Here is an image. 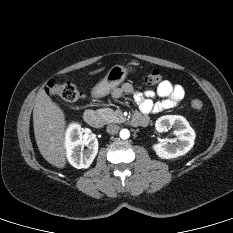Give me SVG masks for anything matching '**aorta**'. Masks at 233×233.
<instances>
[{"instance_id": "aorta-1", "label": "aorta", "mask_w": 233, "mask_h": 233, "mask_svg": "<svg viewBox=\"0 0 233 233\" xmlns=\"http://www.w3.org/2000/svg\"><path fill=\"white\" fill-rule=\"evenodd\" d=\"M120 137H121L122 139H128V138L130 137V132H129V130H128V129H122V130L120 131Z\"/></svg>"}]
</instances>
